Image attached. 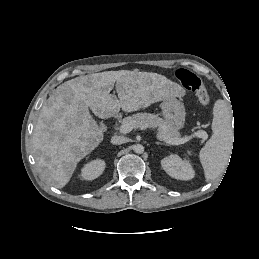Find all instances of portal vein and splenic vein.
Instances as JSON below:
<instances>
[{"label":"portal vein and splenic vein","instance_id":"portal-vein-and-splenic-vein-1","mask_svg":"<svg viewBox=\"0 0 259 259\" xmlns=\"http://www.w3.org/2000/svg\"><path fill=\"white\" fill-rule=\"evenodd\" d=\"M133 129L132 124L127 123V124H123L120 126V132L123 134H127L129 133L131 130ZM194 135L203 138L204 140H206L208 138V134L205 131L202 132H196ZM159 139L165 140L167 143L172 144V145H180V144H184L186 142H188L191 137H184V138H168L165 136H158Z\"/></svg>","mask_w":259,"mask_h":259}]
</instances>
